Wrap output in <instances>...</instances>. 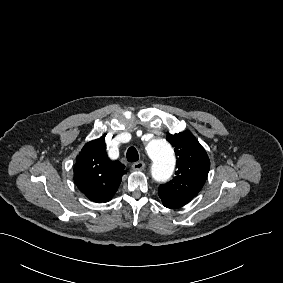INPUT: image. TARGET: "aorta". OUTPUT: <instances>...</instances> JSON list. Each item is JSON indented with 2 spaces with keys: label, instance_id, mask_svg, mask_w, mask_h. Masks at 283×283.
Instances as JSON below:
<instances>
[{
  "label": "aorta",
  "instance_id": "762f6f07",
  "mask_svg": "<svg viewBox=\"0 0 283 283\" xmlns=\"http://www.w3.org/2000/svg\"><path fill=\"white\" fill-rule=\"evenodd\" d=\"M146 151L152 160V177L159 182L168 180L173 174L175 156L171 145L164 139L151 140Z\"/></svg>",
  "mask_w": 283,
  "mask_h": 283
}]
</instances>
